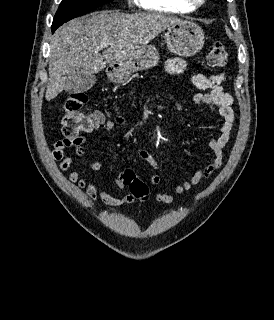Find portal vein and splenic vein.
I'll return each instance as SVG.
<instances>
[{"label": "portal vein and splenic vein", "instance_id": "portal-vein-and-splenic-vein-1", "mask_svg": "<svg viewBox=\"0 0 274 320\" xmlns=\"http://www.w3.org/2000/svg\"><path fill=\"white\" fill-rule=\"evenodd\" d=\"M104 46H107V44H102L101 48H104Z\"/></svg>", "mask_w": 274, "mask_h": 320}]
</instances>
